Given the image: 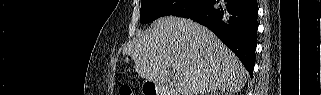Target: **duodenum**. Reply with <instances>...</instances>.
I'll return each mask as SVG.
<instances>
[{
    "mask_svg": "<svg viewBox=\"0 0 321 95\" xmlns=\"http://www.w3.org/2000/svg\"><path fill=\"white\" fill-rule=\"evenodd\" d=\"M154 95H171V93L170 92H164L163 90L156 88V91H155Z\"/></svg>",
    "mask_w": 321,
    "mask_h": 95,
    "instance_id": "1",
    "label": "duodenum"
}]
</instances>
